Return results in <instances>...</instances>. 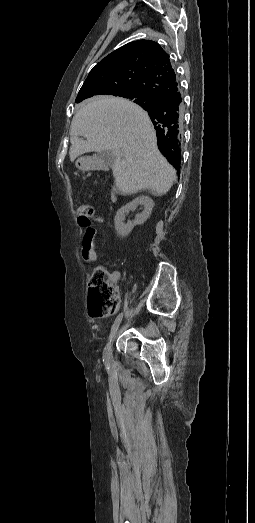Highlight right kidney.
I'll return each instance as SVG.
<instances>
[{
  "instance_id": "1",
  "label": "right kidney",
  "mask_w": 255,
  "mask_h": 523,
  "mask_svg": "<svg viewBox=\"0 0 255 523\" xmlns=\"http://www.w3.org/2000/svg\"><path fill=\"white\" fill-rule=\"evenodd\" d=\"M139 204H141V206H144L143 212H141V214H137L134 222H128V224H124L123 220L125 214H127V212H130V210H136ZM153 206L154 202L153 200H151V198H149V196H139V198H135V200H132L130 204H126V206L120 208V210H118L114 218L115 228L119 236H127V234H130L134 226H137V224H144L147 218H149Z\"/></svg>"
}]
</instances>
